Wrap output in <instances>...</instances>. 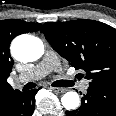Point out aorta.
Wrapping results in <instances>:
<instances>
[{
    "instance_id": "aorta-1",
    "label": "aorta",
    "mask_w": 116,
    "mask_h": 116,
    "mask_svg": "<svg viewBox=\"0 0 116 116\" xmlns=\"http://www.w3.org/2000/svg\"><path fill=\"white\" fill-rule=\"evenodd\" d=\"M12 56L21 62H32L39 59L44 53V45L39 38L23 34L16 37L11 44ZM63 107L67 110H75L80 105L79 95L75 91H69L61 98Z\"/></svg>"
}]
</instances>
